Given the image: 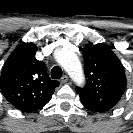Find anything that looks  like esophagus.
Returning <instances> with one entry per match:
<instances>
[{"instance_id": "1", "label": "esophagus", "mask_w": 133, "mask_h": 133, "mask_svg": "<svg viewBox=\"0 0 133 133\" xmlns=\"http://www.w3.org/2000/svg\"><path fill=\"white\" fill-rule=\"evenodd\" d=\"M69 80L68 76L67 75H63V77L61 78V82L62 83H67Z\"/></svg>"}]
</instances>
